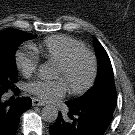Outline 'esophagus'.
Listing matches in <instances>:
<instances>
[{"instance_id":"esophagus-1","label":"esophagus","mask_w":135,"mask_h":135,"mask_svg":"<svg viewBox=\"0 0 135 135\" xmlns=\"http://www.w3.org/2000/svg\"><path fill=\"white\" fill-rule=\"evenodd\" d=\"M32 105H33V106H44L45 103L42 102V101H40V100H38V99H36V98H34V99L32 100Z\"/></svg>"}]
</instances>
